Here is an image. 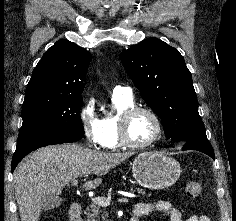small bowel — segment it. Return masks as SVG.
Instances as JSON below:
<instances>
[{
  "label": "small bowel",
  "instance_id": "obj_1",
  "mask_svg": "<svg viewBox=\"0 0 236 221\" xmlns=\"http://www.w3.org/2000/svg\"><path fill=\"white\" fill-rule=\"evenodd\" d=\"M155 212L165 213L169 216L170 221H210L206 215L193 214L183 218L181 212L175 208L169 201L156 200L152 202H139L134 206L133 214L138 219L151 215Z\"/></svg>",
  "mask_w": 236,
  "mask_h": 221
}]
</instances>
